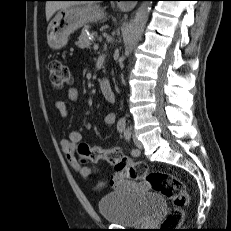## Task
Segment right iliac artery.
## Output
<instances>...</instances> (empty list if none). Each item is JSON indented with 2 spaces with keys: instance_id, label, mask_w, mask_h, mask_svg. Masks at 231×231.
Instances as JSON below:
<instances>
[{
  "instance_id": "obj_1",
  "label": "right iliac artery",
  "mask_w": 231,
  "mask_h": 231,
  "mask_svg": "<svg viewBox=\"0 0 231 231\" xmlns=\"http://www.w3.org/2000/svg\"><path fill=\"white\" fill-rule=\"evenodd\" d=\"M126 122L125 120H119L117 123V130L122 133L125 130Z\"/></svg>"
}]
</instances>
